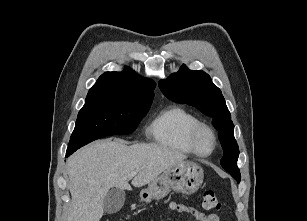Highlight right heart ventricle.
Returning a JSON list of instances; mask_svg holds the SVG:
<instances>
[{"mask_svg":"<svg viewBox=\"0 0 307 221\" xmlns=\"http://www.w3.org/2000/svg\"><path fill=\"white\" fill-rule=\"evenodd\" d=\"M199 122V119L187 109L169 106L153 118L147 127V134L154 142L167 149L193 154L187 136L191 128Z\"/></svg>","mask_w":307,"mask_h":221,"instance_id":"obj_1","label":"right heart ventricle"}]
</instances>
